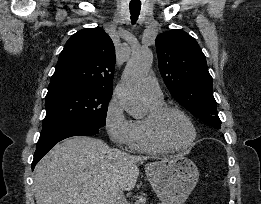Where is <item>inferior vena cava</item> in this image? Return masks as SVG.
I'll return each mask as SVG.
<instances>
[{
	"label": "inferior vena cava",
	"mask_w": 261,
	"mask_h": 204,
	"mask_svg": "<svg viewBox=\"0 0 261 204\" xmlns=\"http://www.w3.org/2000/svg\"><path fill=\"white\" fill-rule=\"evenodd\" d=\"M109 204H127L123 190L114 189L109 195Z\"/></svg>",
	"instance_id": "inferior-vena-cava-1"
}]
</instances>
